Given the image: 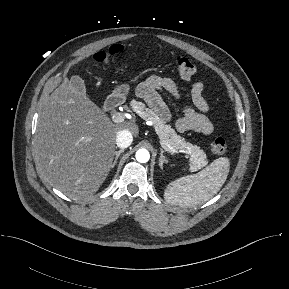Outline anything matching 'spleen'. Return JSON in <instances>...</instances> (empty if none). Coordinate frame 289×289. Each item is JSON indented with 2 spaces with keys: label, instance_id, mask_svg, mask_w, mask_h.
Segmentation results:
<instances>
[{
  "label": "spleen",
  "instance_id": "3e777b00",
  "mask_svg": "<svg viewBox=\"0 0 289 289\" xmlns=\"http://www.w3.org/2000/svg\"><path fill=\"white\" fill-rule=\"evenodd\" d=\"M229 169V159L220 157L200 172L169 183L164 198L170 204L186 207L206 202L223 186Z\"/></svg>",
  "mask_w": 289,
  "mask_h": 289
}]
</instances>
